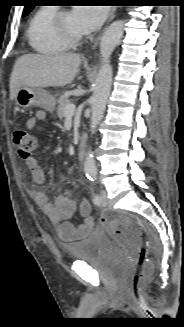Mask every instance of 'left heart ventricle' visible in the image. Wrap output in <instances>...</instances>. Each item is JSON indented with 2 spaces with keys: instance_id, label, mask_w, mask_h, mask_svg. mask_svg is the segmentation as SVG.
<instances>
[{
  "instance_id": "b2bd125f",
  "label": "left heart ventricle",
  "mask_w": 184,
  "mask_h": 327,
  "mask_svg": "<svg viewBox=\"0 0 184 327\" xmlns=\"http://www.w3.org/2000/svg\"><path fill=\"white\" fill-rule=\"evenodd\" d=\"M64 24L66 29L74 35H83L84 33L80 30L78 23L73 16L72 12L66 14L64 18Z\"/></svg>"
}]
</instances>
